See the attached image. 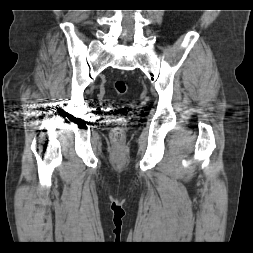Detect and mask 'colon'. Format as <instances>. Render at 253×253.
<instances>
[{"instance_id": "5ec220e1", "label": "colon", "mask_w": 253, "mask_h": 253, "mask_svg": "<svg viewBox=\"0 0 253 253\" xmlns=\"http://www.w3.org/2000/svg\"><path fill=\"white\" fill-rule=\"evenodd\" d=\"M114 90L117 94L123 95L127 92V84L123 80H116L113 84ZM125 138L124 128L116 126L111 131V139L115 143H121Z\"/></svg>"}]
</instances>
